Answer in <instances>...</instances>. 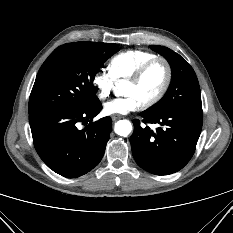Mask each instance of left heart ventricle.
I'll return each instance as SVG.
<instances>
[{
    "mask_svg": "<svg viewBox=\"0 0 233 233\" xmlns=\"http://www.w3.org/2000/svg\"><path fill=\"white\" fill-rule=\"evenodd\" d=\"M166 77V69L162 62H156L146 72L138 84L127 82L124 93L136 95L142 103L152 99L160 91Z\"/></svg>",
    "mask_w": 233,
    "mask_h": 233,
    "instance_id": "b2bd125f",
    "label": "left heart ventricle"
}]
</instances>
